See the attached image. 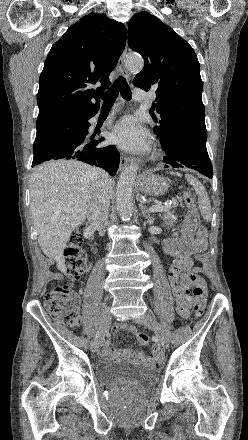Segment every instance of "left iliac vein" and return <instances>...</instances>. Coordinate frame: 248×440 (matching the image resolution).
Returning <instances> with one entry per match:
<instances>
[{"label":"left iliac vein","mask_w":248,"mask_h":440,"mask_svg":"<svg viewBox=\"0 0 248 440\" xmlns=\"http://www.w3.org/2000/svg\"><path fill=\"white\" fill-rule=\"evenodd\" d=\"M134 321L136 323L146 325L151 328L156 333L158 340L160 341L161 346L164 349H167L169 347V339L166 333L150 312L141 315L140 317L134 319Z\"/></svg>","instance_id":"obj_1"}]
</instances>
